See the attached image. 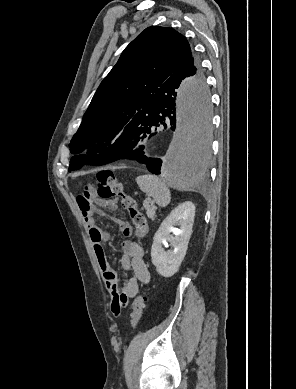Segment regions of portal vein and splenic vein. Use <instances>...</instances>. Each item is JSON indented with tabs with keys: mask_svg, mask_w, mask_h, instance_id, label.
<instances>
[{
	"mask_svg": "<svg viewBox=\"0 0 296 389\" xmlns=\"http://www.w3.org/2000/svg\"><path fill=\"white\" fill-rule=\"evenodd\" d=\"M155 214V211L152 210V209H147V215L150 216V217H153Z\"/></svg>",
	"mask_w": 296,
	"mask_h": 389,
	"instance_id": "obj_1",
	"label": "portal vein and splenic vein"
}]
</instances>
